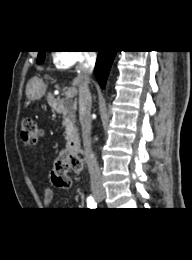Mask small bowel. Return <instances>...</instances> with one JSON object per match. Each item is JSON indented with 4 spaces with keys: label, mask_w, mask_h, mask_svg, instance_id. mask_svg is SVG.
<instances>
[{
    "label": "small bowel",
    "mask_w": 192,
    "mask_h": 260,
    "mask_svg": "<svg viewBox=\"0 0 192 260\" xmlns=\"http://www.w3.org/2000/svg\"><path fill=\"white\" fill-rule=\"evenodd\" d=\"M43 196H44V205L46 207H49L53 201L54 192L53 189L50 186L44 187L43 190Z\"/></svg>",
    "instance_id": "c3829d8e"
}]
</instances>
